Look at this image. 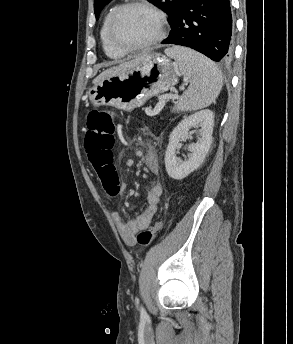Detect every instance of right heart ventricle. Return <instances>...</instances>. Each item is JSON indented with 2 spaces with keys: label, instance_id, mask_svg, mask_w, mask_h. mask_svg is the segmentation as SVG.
I'll return each instance as SVG.
<instances>
[{
  "label": "right heart ventricle",
  "instance_id": "obj_1",
  "mask_svg": "<svg viewBox=\"0 0 293 344\" xmlns=\"http://www.w3.org/2000/svg\"><path fill=\"white\" fill-rule=\"evenodd\" d=\"M114 10H115V7L110 9L106 13V15L102 21V25H101V29H100V41L102 44L103 51L108 58H110L112 60H120L126 55V53L117 50L111 44V42L109 40V35H108L109 21H110V17H111Z\"/></svg>",
  "mask_w": 293,
  "mask_h": 344
}]
</instances>
